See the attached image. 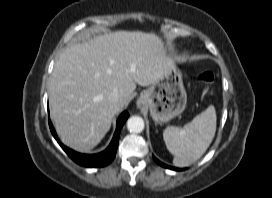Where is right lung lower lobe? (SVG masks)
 <instances>
[{"instance_id":"1","label":"right lung lower lobe","mask_w":272,"mask_h":198,"mask_svg":"<svg viewBox=\"0 0 272 198\" xmlns=\"http://www.w3.org/2000/svg\"><path fill=\"white\" fill-rule=\"evenodd\" d=\"M129 114L127 111H124L118 118L117 120V127L115 134L113 136V139L108 146V148L99 153V154H94V155H86V154H81L77 153L68 147L64 146L59 139L57 138V135L55 133V130L51 124V121H49V126L50 130L52 132V135L54 138L57 140L59 145L62 147V149L68 154V156L75 161L77 164L85 166V167H103L108 165L115 157L116 151H117V146H118V141H119V134L121 131V128L125 121L127 120Z\"/></svg>"}]
</instances>
